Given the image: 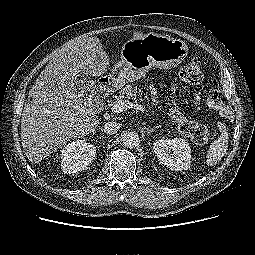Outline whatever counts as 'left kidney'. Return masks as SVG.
I'll use <instances>...</instances> for the list:
<instances>
[{
  "instance_id": "left-kidney-1",
  "label": "left kidney",
  "mask_w": 255,
  "mask_h": 255,
  "mask_svg": "<svg viewBox=\"0 0 255 255\" xmlns=\"http://www.w3.org/2000/svg\"><path fill=\"white\" fill-rule=\"evenodd\" d=\"M158 160L174 171L187 170L191 165V148L182 138L160 139L153 144Z\"/></svg>"
}]
</instances>
